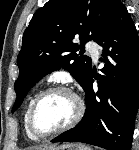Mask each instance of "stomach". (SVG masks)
<instances>
[{
	"label": "stomach",
	"mask_w": 139,
	"mask_h": 150,
	"mask_svg": "<svg viewBox=\"0 0 139 150\" xmlns=\"http://www.w3.org/2000/svg\"><path fill=\"white\" fill-rule=\"evenodd\" d=\"M38 150H91L89 147L81 144L67 143L59 147L40 148Z\"/></svg>",
	"instance_id": "obj_1"
}]
</instances>
